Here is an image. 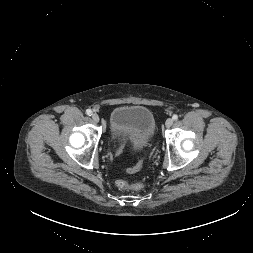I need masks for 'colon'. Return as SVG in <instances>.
I'll return each instance as SVG.
<instances>
[{
  "mask_svg": "<svg viewBox=\"0 0 253 253\" xmlns=\"http://www.w3.org/2000/svg\"><path fill=\"white\" fill-rule=\"evenodd\" d=\"M142 163H140L139 165L131 168L129 171L130 172H135L137 171L140 167H141ZM116 186L121 189V190H127V189H141L143 187V184L141 183H131L127 180L124 179H119L116 181Z\"/></svg>",
  "mask_w": 253,
  "mask_h": 253,
  "instance_id": "5ec220e1",
  "label": "colon"
}]
</instances>
